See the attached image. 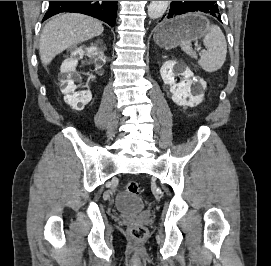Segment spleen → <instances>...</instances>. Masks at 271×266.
Masks as SVG:
<instances>
[{
  "label": "spleen",
  "instance_id": "1",
  "mask_svg": "<svg viewBox=\"0 0 271 266\" xmlns=\"http://www.w3.org/2000/svg\"><path fill=\"white\" fill-rule=\"evenodd\" d=\"M203 44L207 51L200 54L198 64L209 73L219 70L223 66L227 54L226 39L219 26L208 25L207 31L203 34ZM180 46L186 54L197 59V55L192 51L189 41H182Z\"/></svg>",
  "mask_w": 271,
  "mask_h": 266
}]
</instances>
